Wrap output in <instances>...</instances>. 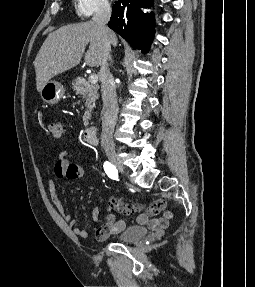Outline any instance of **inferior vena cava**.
Masks as SVG:
<instances>
[{"mask_svg":"<svg viewBox=\"0 0 255 287\" xmlns=\"http://www.w3.org/2000/svg\"><path fill=\"white\" fill-rule=\"evenodd\" d=\"M111 8L107 0H101L96 4V12L92 18L93 24H97L101 30L103 40V54L100 64L101 92L103 100V118L101 144L103 147H114L112 142L113 130L117 120L118 104L115 92L114 78L110 74V28L106 26L110 20Z\"/></svg>","mask_w":255,"mask_h":287,"instance_id":"obj_1","label":"inferior vena cava"}]
</instances>
